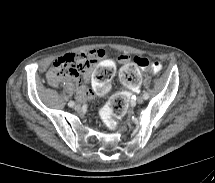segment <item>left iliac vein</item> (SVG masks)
Listing matches in <instances>:
<instances>
[{
  "instance_id": "obj_1",
  "label": "left iliac vein",
  "mask_w": 215,
  "mask_h": 183,
  "mask_svg": "<svg viewBox=\"0 0 215 183\" xmlns=\"http://www.w3.org/2000/svg\"><path fill=\"white\" fill-rule=\"evenodd\" d=\"M144 101V97L140 96L137 98V103L141 104Z\"/></svg>"
}]
</instances>
